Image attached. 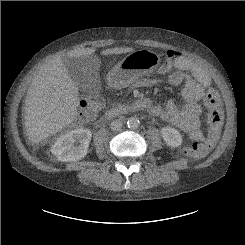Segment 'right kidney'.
Masks as SVG:
<instances>
[{"label":"right kidney","instance_id":"ca27d5eb","mask_svg":"<svg viewBox=\"0 0 245 245\" xmlns=\"http://www.w3.org/2000/svg\"><path fill=\"white\" fill-rule=\"evenodd\" d=\"M91 137V131L86 128L69 131L57 139L51 147V152L59 161L71 162L80 160L88 152Z\"/></svg>","mask_w":245,"mask_h":245}]
</instances>
